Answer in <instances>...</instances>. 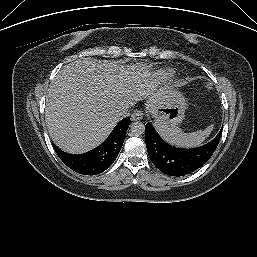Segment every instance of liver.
<instances>
[{
	"label": "liver",
	"instance_id": "obj_1",
	"mask_svg": "<svg viewBox=\"0 0 257 257\" xmlns=\"http://www.w3.org/2000/svg\"><path fill=\"white\" fill-rule=\"evenodd\" d=\"M165 89H158L145 65L76 60L58 72L48 89L49 135L64 151L86 152L106 139L120 120L119 108L147 99L150 110L161 101Z\"/></svg>",
	"mask_w": 257,
	"mask_h": 257
}]
</instances>
